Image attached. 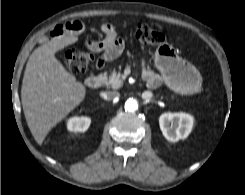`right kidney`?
<instances>
[{
    "label": "right kidney",
    "instance_id": "ca27d5eb",
    "mask_svg": "<svg viewBox=\"0 0 245 195\" xmlns=\"http://www.w3.org/2000/svg\"><path fill=\"white\" fill-rule=\"evenodd\" d=\"M91 120L88 117H72L67 121V128L71 132H85L90 126Z\"/></svg>",
    "mask_w": 245,
    "mask_h": 195
}]
</instances>
